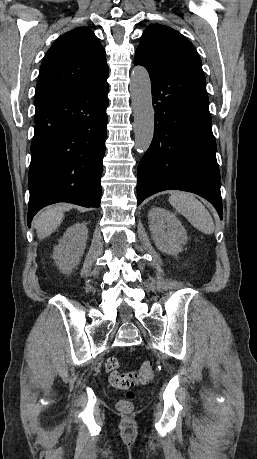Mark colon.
<instances>
[{"mask_svg":"<svg viewBox=\"0 0 257 459\" xmlns=\"http://www.w3.org/2000/svg\"><path fill=\"white\" fill-rule=\"evenodd\" d=\"M119 365L118 359L108 358L105 362V370L109 383L113 387L127 390L125 397L118 402L117 408L121 412L129 413L133 409L132 401L135 396L132 389L140 383L152 381L155 371L153 364L149 361L144 362L137 370L126 373L119 372Z\"/></svg>","mask_w":257,"mask_h":459,"instance_id":"colon-1","label":"colon"}]
</instances>
